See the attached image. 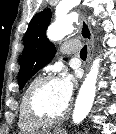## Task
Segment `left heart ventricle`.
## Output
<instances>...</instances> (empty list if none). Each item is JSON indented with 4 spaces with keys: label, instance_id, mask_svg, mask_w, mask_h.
<instances>
[{
    "label": "left heart ventricle",
    "instance_id": "obj_1",
    "mask_svg": "<svg viewBox=\"0 0 116 134\" xmlns=\"http://www.w3.org/2000/svg\"><path fill=\"white\" fill-rule=\"evenodd\" d=\"M40 107L52 114H60L65 111L67 103L58 86V82L49 83L39 97Z\"/></svg>",
    "mask_w": 116,
    "mask_h": 134
}]
</instances>
